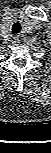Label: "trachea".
<instances>
[{"instance_id":"1","label":"trachea","mask_w":51,"mask_h":153,"mask_svg":"<svg viewBox=\"0 0 51 153\" xmlns=\"http://www.w3.org/2000/svg\"><path fill=\"white\" fill-rule=\"evenodd\" d=\"M21 30V25L19 23H14L12 25V33L13 34H18Z\"/></svg>"}]
</instances>
